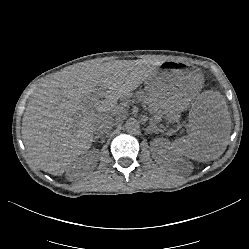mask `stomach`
I'll list each match as a JSON object with an SVG mask.
<instances>
[{
    "label": "stomach",
    "mask_w": 249,
    "mask_h": 249,
    "mask_svg": "<svg viewBox=\"0 0 249 249\" xmlns=\"http://www.w3.org/2000/svg\"><path fill=\"white\" fill-rule=\"evenodd\" d=\"M204 78L198 68H188L181 62L165 61L145 81V91L157 101L168 117H180L202 89Z\"/></svg>",
    "instance_id": "0dacf381"
}]
</instances>
